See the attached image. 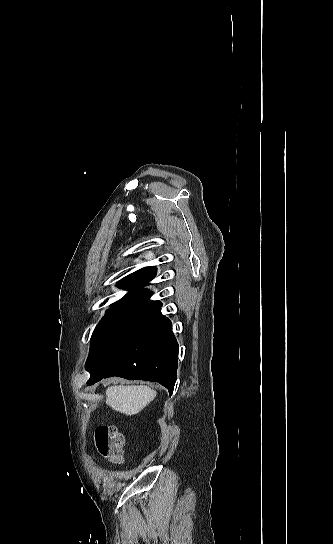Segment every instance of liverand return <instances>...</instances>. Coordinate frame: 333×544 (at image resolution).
I'll use <instances>...</instances> for the list:
<instances>
[{
    "label": "liver",
    "mask_w": 333,
    "mask_h": 544,
    "mask_svg": "<svg viewBox=\"0 0 333 544\" xmlns=\"http://www.w3.org/2000/svg\"><path fill=\"white\" fill-rule=\"evenodd\" d=\"M155 394L147 386H111L106 390V404L115 411L131 416L149 404Z\"/></svg>",
    "instance_id": "1"
}]
</instances>
